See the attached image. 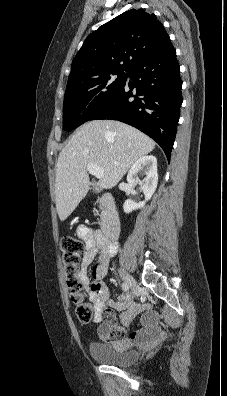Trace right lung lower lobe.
Here are the masks:
<instances>
[{
	"mask_svg": "<svg viewBox=\"0 0 227 396\" xmlns=\"http://www.w3.org/2000/svg\"><path fill=\"white\" fill-rule=\"evenodd\" d=\"M171 42L146 55L129 71V81L90 120L127 123L154 139L170 160L182 104V81Z\"/></svg>",
	"mask_w": 227,
	"mask_h": 396,
	"instance_id": "obj_1",
	"label": "right lung lower lobe"
}]
</instances>
